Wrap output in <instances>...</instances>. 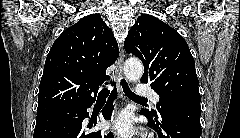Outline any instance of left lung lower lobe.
Returning a JSON list of instances; mask_svg holds the SVG:
<instances>
[{"label":"left lung lower lobe","instance_id":"1","mask_svg":"<svg viewBox=\"0 0 240 138\" xmlns=\"http://www.w3.org/2000/svg\"><path fill=\"white\" fill-rule=\"evenodd\" d=\"M201 99L185 97L162 102L159 117L141 110L161 138H200Z\"/></svg>","mask_w":240,"mask_h":138}]
</instances>
